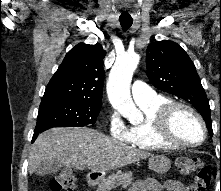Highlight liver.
Here are the masks:
<instances>
[{
  "mask_svg": "<svg viewBox=\"0 0 221 191\" xmlns=\"http://www.w3.org/2000/svg\"><path fill=\"white\" fill-rule=\"evenodd\" d=\"M151 156L118 140L86 127L51 128L40 134L32 146L28 170L55 159L67 167L103 172L135 163Z\"/></svg>",
  "mask_w": 221,
  "mask_h": 191,
  "instance_id": "liver-1",
  "label": "liver"
}]
</instances>
